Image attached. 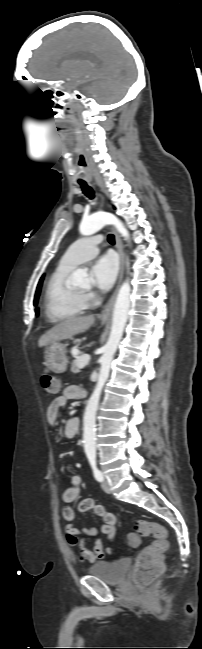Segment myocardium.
<instances>
[{
  "mask_svg": "<svg viewBox=\"0 0 202 649\" xmlns=\"http://www.w3.org/2000/svg\"><path fill=\"white\" fill-rule=\"evenodd\" d=\"M81 294H83V291H79Z\"/></svg>",
  "mask_w": 202,
  "mask_h": 649,
  "instance_id": "f54148a6",
  "label": "myocardium"
}]
</instances>
